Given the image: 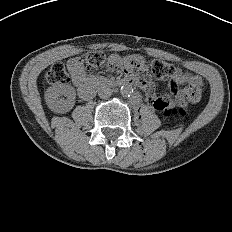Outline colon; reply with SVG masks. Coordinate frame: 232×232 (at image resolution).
<instances>
[{
  "instance_id": "1",
  "label": "colon",
  "mask_w": 232,
  "mask_h": 232,
  "mask_svg": "<svg viewBox=\"0 0 232 232\" xmlns=\"http://www.w3.org/2000/svg\"><path fill=\"white\" fill-rule=\"evenodd\" d=\"M106 60V56L101 51H92L86 53L82 58H80L81 63H84L89 68L101 67ZM149 67L153 76L158 80H166L171 78L176 69L169 63L161 60H152L149 62ZM70 80L67 67L62 62H57L51 66L46 74V81L48 84H64ZM185 94L189 102L197 103L200 101L202 96V87L196 85H188L185 88ZM184 109H176L169 106L164 113L166 115H177L184 114Z\"/></svg>"
}]
</instances>
